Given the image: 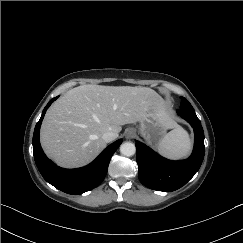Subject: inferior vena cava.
I'll return each mask as SVG.
<instances>
[{"mask_svg":"<svg viewBox=\"0 0 243 243\" xmlns=\"http://www.w3.org/2000/svg\"><path fill=\"white\" fill-rule=\"evenodd\" d=\"M117 135L114 132L108 131L102 135V139L108 143L116 139Z\"/></svg>","mask_w":243,"mask_h":243,"instance_id":"inferior-vena-cava-1","label":"inferior vena cava"}]
</instances>
